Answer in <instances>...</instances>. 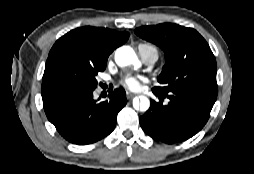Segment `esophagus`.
Returning <instances> with one entry per match:
<instances>
[{
	"label": "esophagus",
	"instance_id": "obj_1",
	"mask_svg": "<svg viewBox=\"0 0 254 174\" xmlns=\"http://www.w3.org/2000/svg\"><path fill=\"white\" fill-rule=\"evenodd\" d=\"M135 96H136L135 94L127 92V99L131 100Z\"/></svg>",
	"mask_w": 254,
	"mask_h": 174
}]
</instances>
